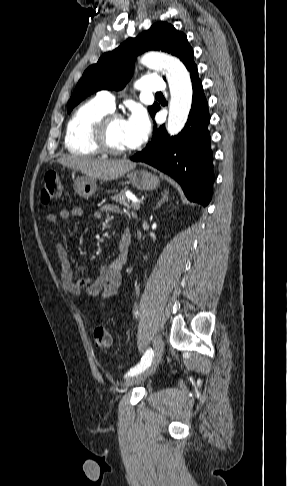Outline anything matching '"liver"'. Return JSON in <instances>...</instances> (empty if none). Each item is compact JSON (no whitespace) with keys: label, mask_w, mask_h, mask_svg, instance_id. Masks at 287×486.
Listing matches in <instances>:
<instances>
[{"label":"liver","mask_w":287,"mask_h":486,"mask_svg":"<svg viewBox=\"0 0 287 486\" xmlns=\"http://www.w3.org/2000/svg\"><path fill=\"white\" fill-rule=\"evenodd\" d=\"M57 161L100 180H115L136 167V163L130 160H97L82 156H62Z\"/></svg>","instance_id":"1"}]
</instances>
